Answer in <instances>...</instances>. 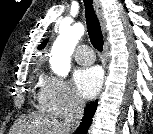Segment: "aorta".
Here are the masks:
<instances>
[{"instance_id": "762f6f07", "label": "aorta", "mask_w": 153, "mask_h": 134, "mask_svg": "<svg viewBox=\"0 0 153 134\" xmlns=\"http://www.w3.org/2000/svg\"><path fill=\"white\" fill-rule=\"evenodd\" d=\"M83 34V25L75 23L69 28L62 30L54 42L50 54V65L53 72L58 76L65 78L68 75L71 55Z\"/></svg>"}]
</instances>
